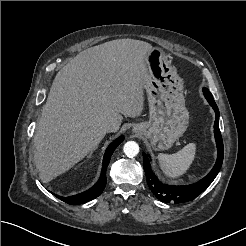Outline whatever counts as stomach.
I'll return each instance as SVG.
<instances>
[{"mask_svg":"<svg viewBox=\"0 0 246 246\" xmlns=\"http://www.w3.org/2000/svg\"><path fill=\"white\" fill-rule=\"evenodd\" d=\"M146 66L144 89L148 97L149 120L134 125V131L141 132L154 150H167L188 127L184 83L160 48H153L148 54Z\"/></svg>","mask_w":246,"mask_h":246,"instance_id":"0dacf381","label":"stomach"}]
</instances>
